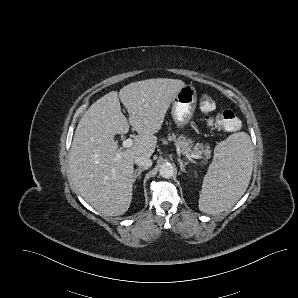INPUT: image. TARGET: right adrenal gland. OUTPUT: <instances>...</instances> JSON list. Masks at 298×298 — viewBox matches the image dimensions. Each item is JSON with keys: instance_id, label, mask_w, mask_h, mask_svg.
<instances>
[{"instance_id": "obj_1", "label": "right adrenal gland", "mask_w": 298, "mask_h": 298, "mask_svg": "<svg viewBox=\"0 0 298 298\" xmlns=\"http://www.w3.org/2000/svg\"><path fill=\"white\" fill-rule=\"evenodd\" d=\"M145 170H147V168L143 167V166H139L138 168H136L132 175V181H134V178H135L137 172H139V174H140L141 172H143Z\"/></svg>"}]
</instances>
